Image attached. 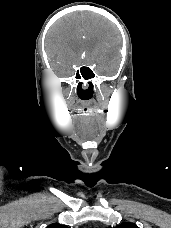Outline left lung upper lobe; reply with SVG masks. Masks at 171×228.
Masks as SVG:
<instances>
[{
    "mask_svg": "<svg viewBox=\"0 0 171 228\" xmlns=\"http://www.w3.org/2000/svg\"><path fill=\"white\" fill-rule=\"evenodd\" d=\"M115 228H138V226L133 223H124Z\"/></svg>",
    "mask_w": 171,
    "mask_h": 228,
    "instance_id": "1",
    "label": "left lung upper lobe"
}]
</instances>
